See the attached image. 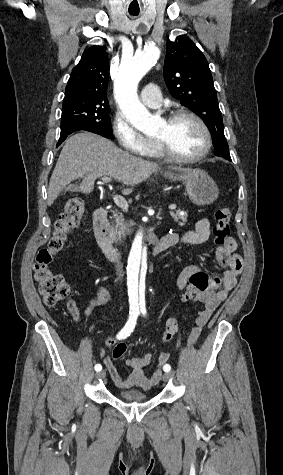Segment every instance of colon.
Instances as JSON below:
<instances>
[{
    "instance_id": "1",
    "label": "colon",
    "mask_w": 283,
    "mask_h": 475,
    "mask_svg": "<svg viewBox=\"0 0 283 475\" xmlns=\"http://www.w3.org/2000/svg\"><path fill=\"white\" fill-rule=\"evenodd\" d=\"M85 206L80 198H70L61 212L55 225L49 246L40 250L35 259L34 279L37 283L42 300L46 306L54 307L66 303L69 313L77 318L78 307L72 298V288L65 279L49 266L53 263L57 254L68 248L69 238L72 231L78 227L85 216ZM231 211L227 207H220L215 211V223L212 227L213 241L216 246L224 244L230 236ZM213 279L206 271H197L191 274L189 284L185 290L186 297L196 296L199 291H204ZM178 320L171 316L167 319L165 330L162 335L164 344L169 343L178 332ZM167 352L163 351L158 356L160 363L167 361Z\"/></svg>"
}]
</instances>
